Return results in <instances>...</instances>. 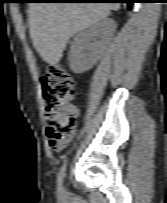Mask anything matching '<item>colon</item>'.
Here are the masks:
<instances>
[{"mask_svg": "<svg viewBox=\"0 0 167 203\" xmlns=\"http://www.w3.org/2000/svg\"><path fill=\"white\" fill-rule=\"evenodd\" d=\"M45 100L48 123L47 136L50 146L69 137L77 126V110L70 105L75 95V82L71 74L60 64H50L40 79Z\"/></svg>", "mask_w": 167, "mask_h": 203, "instance_id": "5ec220e1", "label": "colon"}]
</instances>
